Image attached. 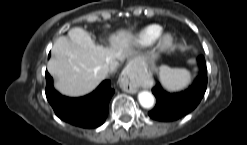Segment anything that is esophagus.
<instances>
[{
    "instance_id": "34e87169",
    "label": "esophagus",
    "mask_w": 247,
    "mask_h": 145,
    "mask_svg": "<svg viewBox=\"0 0 247 145\" xmlns=\"http://www.w3.org/2000/svg\"><path fill=\"white\" fill-rule=\"evenodd\" d=\"M142 82V76L137 70L126 68L120 77V87L127 93L134 94L138 91L139 84Z\"/></svg>"
}]
</instances>
